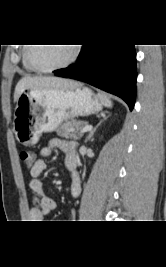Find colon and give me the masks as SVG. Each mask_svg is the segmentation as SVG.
<instances>
[{
  "label": "colon",
  "instance_id": "1",
  "mask_svg": "<svg viewBox=\"0 0 166 267\" xmlns=\"http://www.w3.org/2000/svg\"><path fill=\"white\" fill-rule=\"evenodd\" d=\"M20 157L28 167H31L35 162L34 152L28 149L22 150L20 153Z\"/></svg>",
  "mask_w": 166,
  "mask_h": 267
}]
</instances>
